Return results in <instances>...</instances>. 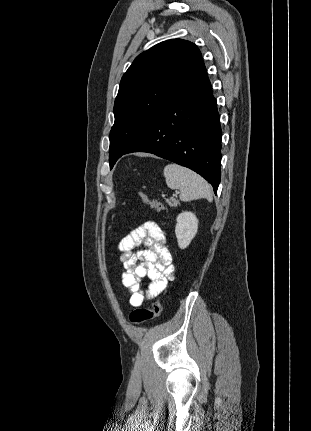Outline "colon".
I'll list each match as a JSON object with an SVG mask.
<instances>
[{"label": "colon", "instance_id": "colon-1", "mask_svg": "<svg viewBox=\"0 0 311 431\" xmlns=\"http://www.w3.org/2000/svg\"><path fill=\"white\" fill-rule=\"evenodd\" d=\"M138 194L141 200L150 208L159 212L165 211V207L158 200L152 199L142 192H139ZM161 310V303L159 299H157L152 303L150 308H137L133 310L130 314V320L134 324L144 323L148 320L158 317L161 314Z\"/></svg>", "mask_w": 311, "mask_h": 431}]
</instances>
